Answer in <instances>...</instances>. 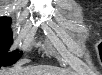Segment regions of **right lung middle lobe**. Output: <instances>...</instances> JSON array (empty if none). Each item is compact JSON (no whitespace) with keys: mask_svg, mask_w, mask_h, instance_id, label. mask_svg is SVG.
<instances>
[{"mask_svg":"<svg viewBox=\"0 0 102 75\" xmlns=\"http://www.w3.org/2000/svg\"><path fill=\"white\" fill-rule=\"evenodd\" d=\"M11 19L3 17L0 19V64L1 66H9L20 59L22 53L18 51L8 52L9 47L13 43L12 32L9 30Z\"/></svg>","mask_w":102,"mask_h":75,"instance_id":"dd1d6c3e","label":"right lung middle lobe"}]
</instances>
